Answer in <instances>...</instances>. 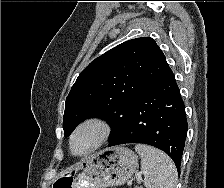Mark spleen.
Returning a JSON list of instances; mask_svg holds the SVG:
<instances>
[{"label": "spleen", "mask_w": 224, "mask_h": 188, "mask_svg": "<svg viewBox=\"0 0 224 188\" xmlns=\"http://www.w3.org/2000/svg\"><path fill=\"white\" fill-rule=\"evenodd\" d=\"M135 150L141 156V171L146 188H175L177 169L166 153L145 144H136Z\"/></svg>", "instance_id": "spleen-1"}]
</instances>
